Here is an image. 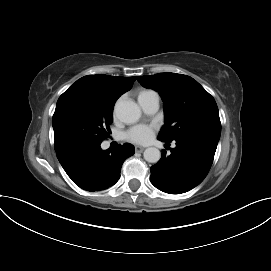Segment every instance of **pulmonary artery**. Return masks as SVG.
Instances as JSON below:
<instances>
[{
	"label": "pulmonary artery",
	"instance_id": "e3ab8cb5",
	"mask_svg": "<svg viewBox=\"0 0 271 271\" xmlns=\"http://www.w3.org/2000/svg\"><path fill=\"white\" fill-rule=\"evenodd\" d=\"M142 109L147 114H155L159 109V96L151 91L147 96L138 99Z\"/></svg>",
	"mask_w": 271,
	"mask_h": 271
}]
</instances>
